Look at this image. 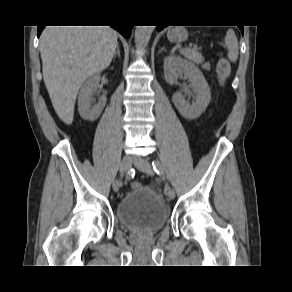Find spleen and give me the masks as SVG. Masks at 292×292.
Returning <instances> with one entry per match:
<instances>
[{"instance_id":"obj_1","label":"spleen","mask_w":292,"mask_h":292,"mask_svg":"<svg viewBox=\"0 0 292 292\" xmlns=\"http://www.w3.org/2000/svg\"><path fill=\"white\" fill-rule=\"evenodd\" d=\"M225 44L228 49V59L235 62L238 58V41L232 29H229L226 33Z\"/></svg>"}]
</instances>
